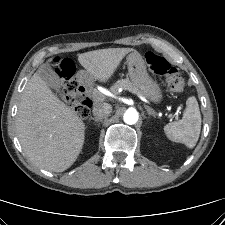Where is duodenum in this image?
<instances>
[{
	"label": "duodenum",
	"mask_w": 225,
	"mask_h": 225,
	"mask_svg": "<svg viewBox=\"0 0 225 225\" xmlns=\"http://www.w3.org/2000/svg\"><path fill=\"white\" fill-rule=\"evenodd\" d=\"M78 83H79V86H80V88H81L82 93H83L85 96L88 97V95H87V90H86V83H87L86 78H85L84 76H81V77L79 78ZM88 98H89V97H88ZM89 99H90V98H89Z\"/></svg>",
	"instance_id": "obj_1"
}]
</instances>
